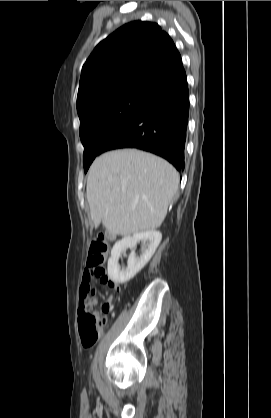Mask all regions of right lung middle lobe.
Segmentation results:
<instances>
[{"mask_svg":"<svg viewBox=\"0 0 271 418\" xmlns=\"http://www.w3.org/2000/svg\"><path fill=\"white\" fill-rule=\"evenodd\" d=\"M149 102L138 95L122 94L78 111L85 173L105 141Z\"/></svg>","mask_w":271,"mask_h":418,"instance_id":"right-lung-middle-lobe-1","label":"right lung middle lobe"}]
</instances>
